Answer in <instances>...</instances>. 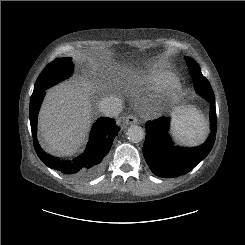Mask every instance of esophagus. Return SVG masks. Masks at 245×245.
<instances>
[{
    "label": "esophagus",
    "mask_w": 245,
    "mask_h": 245,
    "mask_svg": "<svg viewBox=\"0 0 245 245\" xmlns=\"http://www.w3.org/2000/svg\"><path fill=\"white\" fill-rule=\"evenodd\" d=\"M138 122V119L135 115L133 114H130V115H127L125 118H124V123L126 125H133V124H136Z\"/></svg>",
    "instance_id": "obj_1"
}]
</instances>
